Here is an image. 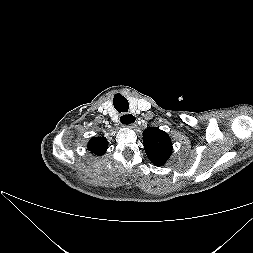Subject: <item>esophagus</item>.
<instances>
[{
	"label": "esophagus",
	"instance_id": "obj_1",
	"mask_svg": "<svg viewBox=\"0 0 253 253\" xmlns=\"http://www.w3.org/2000/svg\"><path fill=\"white\" fill-rule=\"evenodd\" d=\"M120 123L124 126V127H130L133 128L136 126V121L137 118L134 114L132 113H122L120 115Z\"/></svg>",
	"mask_w": 253,
	"mask_h": 253
}]
</instances>
